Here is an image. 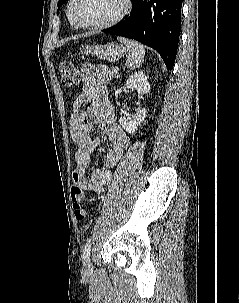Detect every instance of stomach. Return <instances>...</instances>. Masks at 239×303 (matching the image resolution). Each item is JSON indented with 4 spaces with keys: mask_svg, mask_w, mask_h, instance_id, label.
Listing matches in <instances>:
<instances>
[{
    "mask_svg": "<svg viewBox=\"0 0 239 303\" xmlns=\"http://www.w3.org/2000/svg\"><path fill=\"white\" fill-rule=\"evenodd\" d=\"M84 52L112 62L120 59L124 55L125 49L112 42L104 45L86 46Z\"/></svg>",
    "mask_w": 239,
    "mask_h": 303,
    "instance_id": "stomach-1",
    "label": "stomach"
}]
</instances>
